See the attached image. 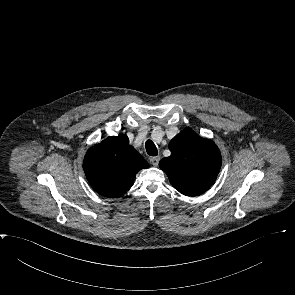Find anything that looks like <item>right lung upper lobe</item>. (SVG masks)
Segmentation results:
<instances>
[{
  "mask_svg": "<svg viewBox=\"0 0 295 295\" xmlns=\"http://www.w3.org/2000/svg\"><path fill=\"white\" fill-rule=\"evenodd\" d=\"M147 161L129 145L125 134L108 137L91 147L83 168L92 188L106 197H119L134 184L135 175L148 168Z\"/></svg>",
  "mask_w": 295,
  "mask_h": 295,
  "instance_id": "1",
  "label": "right lung upper lobe"
}]
</instances>
